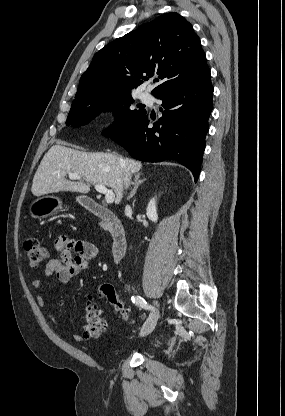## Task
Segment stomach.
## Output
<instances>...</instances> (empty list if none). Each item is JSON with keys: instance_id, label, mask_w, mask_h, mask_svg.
Here are the masks:
<instances>
[{"instance_id": "1", "label": "stomach", "mask_w": 285, "mask_h": 416, "mask_svg": "<svg viewBox=\"0 0 285 416\" xmlns=\"http://www.w3.org/2000/svg\"><path fill=\"white\" fill-rule=\"evenodd\" d=\"M80 204H83L82 198ZM60 210H62V202L56 196H37L36 200H33L29 206L30 216L39 218V220L57 214Z\"/></svg>"}]
</instances>
